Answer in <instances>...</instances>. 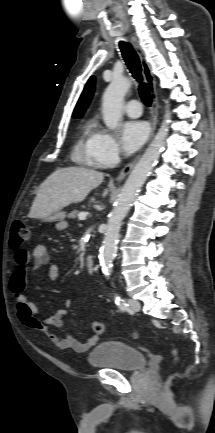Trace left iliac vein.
Returning <instances> with one entry per match:
<instances>
[{
    "label": "left iliac vein",
    "instance_id": "left-iliac-vein-1",
    "mask_svg": "<svg viewBox=\"0 0 215 433\" xmlns=\"http://www.w3.org/2000/svg\"><path fill=\"white\" fill-rule=\"evenodd\" d=\"M128 303H129L131 309L134 312L140 311L141 305H140V303L137 300H135V299H128Z\"/></svg>",
    "mask_w": 215,
    "mask_h": 433
}]
</instances>
